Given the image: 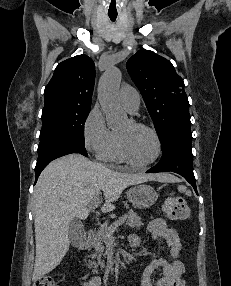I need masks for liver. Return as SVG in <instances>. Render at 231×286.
I'll use <instances>...</instances> for the list:
<instances>
[{
	"mask_svg": "<svg viewBox=\"0 0 231 286\" xmlns=\"http://www.w3.org/2000/svg\"><path fill=\"white\" fill-rule=\"evenodd\" d=\"M146 181L175 182L178 179L170 174L121 173L80 154L52 161L34 188L36 257L32 280L36 281L60 264L70 246V222L88 217L87 206L101 190L104 195L101 210L109 212L126 187Z\"/></svg>",
	"mask_w": 231,
	"mask_h": 286,
	"instance_id": "liver-1",
	"label": "liver"
}]
</instances>
